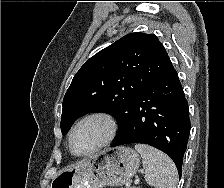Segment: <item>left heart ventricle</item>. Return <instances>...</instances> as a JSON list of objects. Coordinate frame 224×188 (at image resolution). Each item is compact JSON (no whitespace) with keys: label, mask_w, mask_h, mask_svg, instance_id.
<instances>
[{"label":"left heart ventricle","mask_w":224,"mask_h":188,"mask_svg":"<svg viewBox=\"0 0 224 188\" xmlns=\"http://www.w3.org/2000/svg\"><path fill=\"white\" fill-rule=\"evenodd\" d=\"M108 126L101 119L83 122L73 137V148L77 153H85L96 147L107 135Z\"/></svg>","instance_id":"1"}]
</instances>
